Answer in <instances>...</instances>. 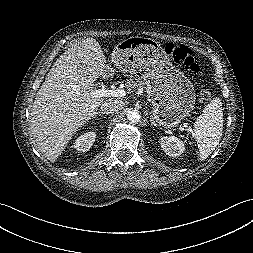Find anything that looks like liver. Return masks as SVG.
<instances>
[{
  "instance_id": "6515ba94",
  "label": "liver",
  "mask_w": 253,
  "mask_h": 253,
  "mask_svg": "<svg viewBox=\"0 0 253 253\" xmlns=\"http://www.w3.org/2000/svg\"><path fill=\"white\" fill-rule=\"evenodd\" d=\"M98 42L87 38L68 48L52 65L35 97L31 133L43 155L55 162L82 125L102 104L95 81L107 70Z\"/></svg>"
}]
</instances>
